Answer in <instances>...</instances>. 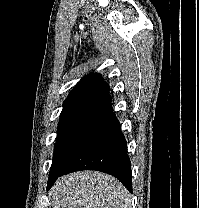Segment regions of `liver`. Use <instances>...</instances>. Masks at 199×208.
<instances>
[{"label":"liver","mask_w":199,"mask_h":208,"mask_svg":"<svg viewBox=\"0 0 199 208\" xmlns=\"http://www.w3.org/2000/svg\"><path fill=\"white\" fill-rule=\"evenodd\" d=\"M52 208H130V195L114 177L80 171L59 178L49 192Z\"/></svg>","instance_id":"liver-1"}]
</instances>
